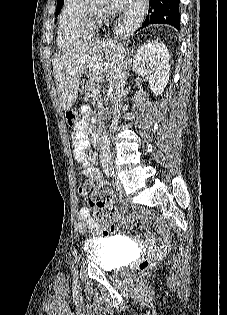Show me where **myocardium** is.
Wrapping results in <instances>:
<instances>
[{
	"instance_id": "f54148a6",
	"label": "myocardium",
	"mask_w": 227,
	"mask_h": 315,
	"mask_svg": "<svg viewBox=\"0 0 227 315\" xmlns=\"http://www.w3.org/2000/svg\"><path fill=\"white\" fill-rule=\"evenodd\" d=\"M102 22V16L100 13H94L89 8L88 5L83 6L81 23L85 27H98Z\"/></svg>"
}]
</instances>
